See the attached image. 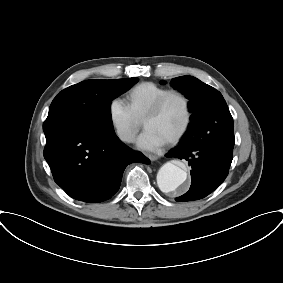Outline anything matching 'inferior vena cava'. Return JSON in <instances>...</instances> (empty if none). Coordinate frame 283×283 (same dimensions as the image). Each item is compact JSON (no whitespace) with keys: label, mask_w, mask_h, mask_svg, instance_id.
Returning a JSON list of instances; mask_svg holds the SVG:
<instances>
[{"label":"inferior vena cava","mask_w":283,"mask_h":283,"mask_svg":"<svg viewBox=\"0 0 283 283\" xmlns=\"http://www.w3.org/2000/svg\"><path fill=\"white\" fill-rule=\"evenodd\" d=\"M132 138H133V135H131L130 133H127V134L123 137V139L126 140V141H130V140H132Z\"/></svg>","instance_id":"obj_1"}]
</instances>
